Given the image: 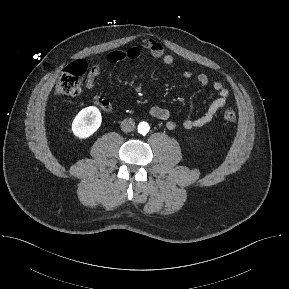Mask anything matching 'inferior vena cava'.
<instances>
[{
	"instance_id": "inferior-vena-cava-1",
	"label": "inferior vena cava",
	"mask_w": 289,
	"mask_h": 289,
	"mask_svg": "<svg viewBox=\"0 0 289 289\" xmlns=\"http://www.w3.org/2000/svg\"><path fill=\"white\" fill-rule=\"evenodd\" d=\"M134 128H135V122L131 118L124 119L121 122V130L123 132H131L134 130Z\"/></svg>"
}]
</instances>
